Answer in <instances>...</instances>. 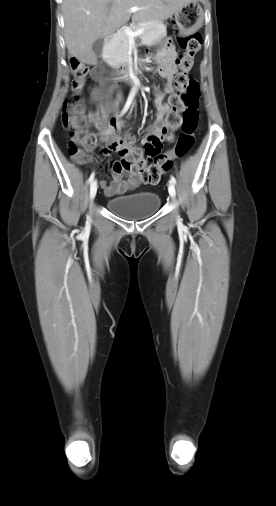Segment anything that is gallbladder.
Masks as SVG:
<instances>
[{
	"mask_svg": "<svg viewBox=\"0 0 276 506\" xmlns=\"http://www.w3.org/2000/svg\"><path fill=\"white\" fill-rule=\"evenodd\" d=\"M103 39H98L93 43L92 50L95 53L96 57H101L103 53Z\"/></svg>",
	"mask_w": 276,
	"mask_h": 506,
	"instance_id": "1",
	"label": "gallbladder"
}]
</instances>
